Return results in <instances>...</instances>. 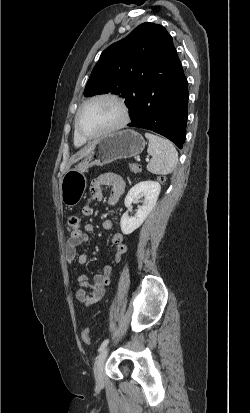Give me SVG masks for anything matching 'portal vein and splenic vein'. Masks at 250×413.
I'll use <instances>...</instances> for the list:
<instances>
[{"label":"portal vein and splenic vein","mask_w":250,"mask_h":413,"mask_svg":"<svg viewBox=\"0 0 250 413\" xmlns=\"http://www.w3.org/2000/svg\"><path fill=\"white\" fill-rule=\"evenodd\" d=\"M146 161L148 162V161H149V158H146Z\"/></svg>","instance_id":"18ae733b"}]
</instances>
